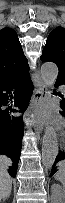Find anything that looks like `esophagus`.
I'll list each match as a JSON object with an SVG mask.
<instances>
[{"mask_svg":"<svg viewBox=\"0 0 65 203\" xmlns=\"http://www.w3.org/2000/svg\"><path fill=\"white\" fill-rule=\"evenodd\" d=\"M48 97L47 87L43 82L34 90L32 96V110L35 118L36 130L41 133L45 125L44 106Z\"/></svg>","mask_w":65,"mask_h":203,"instance_id":"esophagus-1","label":"esophagus"}]
</instances>
